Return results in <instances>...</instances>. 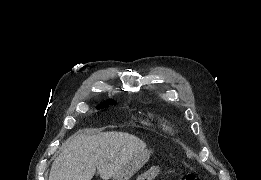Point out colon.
<instances>
[{"instance_id":"colon-1","label":"colon","mask_w":261,"mask_h":180,"mask_svg":"<svg viewBox=\"0 0 261 180\" xmlns=\"http://www.w3.org/2000/svg\"><path fill=\"white\" fill-rule=\"evenodd\" d=\"M183 180H199V176L195 175V174H191V173H188V174H185L183 175L182 177Z\"/></svg>"}]
</instances>
